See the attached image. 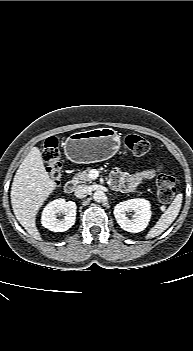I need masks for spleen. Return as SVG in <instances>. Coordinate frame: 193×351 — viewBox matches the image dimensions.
<instances>
[{
  "mask_svg": "<svg viewBox=\"0 0 193 351\" xmlns=\"http://www.w3.org/2000/svg\"><path fill=\"white\" fill-rule=\"evenodd\" d=\"M182 193L176 195L167 210L161 215L155 226L150 229L146 235V239L154 238L162 234L176 219L182 205Z\"/></svg>",
  "mask_w": 193,
  "mask_h": 351,
  "instance_id": "1",
  "label": "spleen"
}]
</instances>
